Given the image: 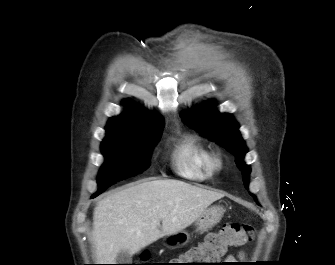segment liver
Segmentation results:
<instances>
[{
  "instance_id": "6515ba94",
  "label": "liver",
  "mask_w": 335,
  "mask_h": 265,
  "mask_svg": "<svg viewBox=\"0 0 335 265\" xmlns=\"http://www.w3.org/2000/svg\"><path fill=\"white\" fill-rule=\"evenodd\" d=\"M222 197L223 193L173 179L145 180L110 194L93 213L97 261L114 264L121 250L133 255L185 229Z\"/></svg>"
}]
</instances>
